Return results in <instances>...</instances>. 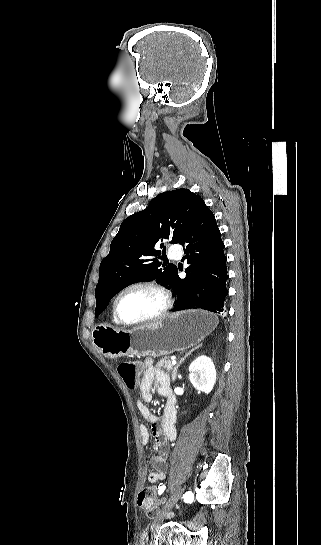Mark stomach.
<instances>
[{
	"label": "stomach",
	"instance_id": "0dacf381",
	"mask_svg": "<svg viewBox=\"0 0 321 545\" xmlns=\"http://www.w3.org/2000/svg\"><path fill=\"white\" fill-rule=\"evenodd\" d=\"M217 325L216 315L191 309L130 331L100 323L92 331V343L104 357H162L194 347Z\"/></svg>",
	"mask_w": 321,
	"mask_h": 545
}]
</instances>
